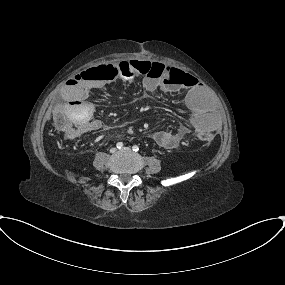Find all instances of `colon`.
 I'll use <instances>...</instances> for the list:
<instances>
[{
    "instance_id": "5ec220e1",
    "label": "colon",
    "mask_w": 285,
    "mask_h": 285,
    "mask_svg": "<svg viewBox=\"0 0 285 285\" xmlns=\"http://www.w3.org/2000/svg\"><path fill=\"white\" fill-rule=\"evenodd\" d=\"M107 72L127 77H151L163 82L169 87L189 83V77L180 70L166 67L157 62L136 60L115 62L100 66L97 69L84 70L80 76L90 80L100 79L103 78ZM54 119L58 130L62 133L68 134L75 131V125L71 122L69 114L64 109L57 110ZM196 138L203 143H208L211 140V136L207 133L199 134Z\"/></svg>"
}]
</instances>
